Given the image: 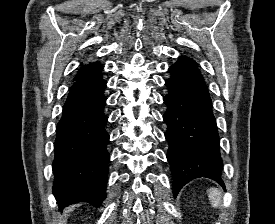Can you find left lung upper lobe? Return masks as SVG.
Listing matches in <instances>:
<instances>
[{
    "mask_svg": "<svg viewBox=\"0 0 275 224\" xmlns=\"http://www.w3.org/2000/svg\"><path fill=\"white\" fill-rule=\"evenodd\" d=\"M191 67H197V64L192 59L180 57V59L170 68L183 69V68H191Z\"/></svg>",
    "mask_w": 275,
    "mask_h": 224,
    "instance_id": "5c2ea615",
    "label": "left lung upper lobe"
}]
</instances>
